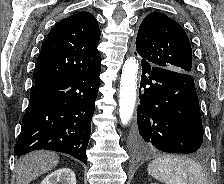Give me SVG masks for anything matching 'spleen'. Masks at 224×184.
I'll return each mask as SVG.
<instances>
[{"instance_id":"1","label":"spleen","mask_w":224,"mask_h":184,"mask_svg":"<svg viewBox=\"0 0 224 184\" xmlns=\"http://www.w3.org/2000/svg\"><path fill=\"white\" fill-rule=\"evenodd\" d=\"M147 171L149 175L165 184H208L203 167L183 157H157L148 165Z\"/></svg>"}]
</instances>
